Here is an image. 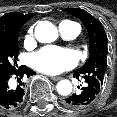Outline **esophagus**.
Wrapping results in <instances>:
<instances>
[{
  "label": "esophagus",
  "mask_w": 117,
  "mask_h": 117,
  "mask_svg": "<svg viewBox=\"0 0 117 117\" xmlns=\"http://www.w3.org/2000/svg\"><path fill=\"white\" fill-rule=\"evenodd\" d=\"M50 78H51L53 81H58V80L61 79V77H59V76H51Z\"/></svg>",
  "instance_id": "34e87169"
}]
</instances>
